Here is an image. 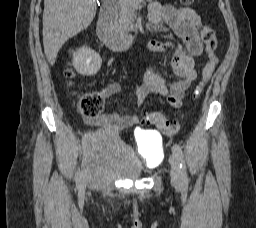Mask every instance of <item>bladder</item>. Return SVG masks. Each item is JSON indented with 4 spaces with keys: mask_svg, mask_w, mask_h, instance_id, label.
<instances>
[{
    "mask_svg": "<svg viewBox=\"0 0 256 228\" xmlns=\"http://www.w3.org/2000/svg\"><path fill=\"white\" fill-rule=\"evenodd\" d=\"M143 155L111 132L90 134L86 141V156L93 167L115 177L136 179L156 167L163 154L162 140L142 135Z\"/></svg>",
    "mask_w": 256,
    "mask_h": 228,
    "instance_id": "1",
    "label": "bladder"
}]
</instances>
